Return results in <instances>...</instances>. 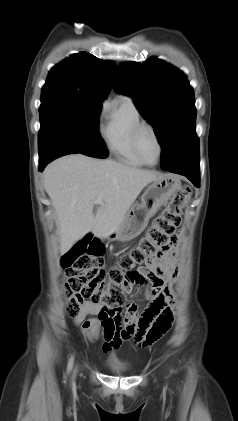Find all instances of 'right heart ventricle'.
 <instances>
[{
    "mask_svg": "<svg viewBox=\"0 0 238 421\" xmlns=\"http://www.w3.org/2000/svg\"><path fill=\"white\" fill-rule=\"evenodd\" d=\"M141 113L129 97H121L107 108L102 135L108 149L131 166H144L133 147V131L142 122Z\"/></svg>",
    "mask_w": 238,
    "mask_h": 421,
    "instance_id": "1",
    "label": "right heart ventricle"
}]
</instances>
